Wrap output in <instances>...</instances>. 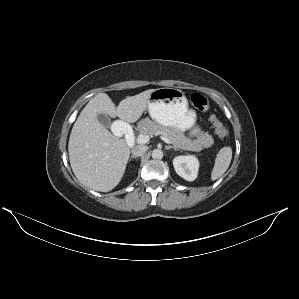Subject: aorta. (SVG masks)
<instances>
[{"instance_id":"762f6f07","label":"aorta","mask_w":299,"mask_h":299,"mask_svg":"<svg viewBox=\"0 0 299 299\" xmlns=\"http://www.w3.org/2000/svg\"><path fill=\"white\" fill-rule=\"evenodd\" d=\"M152 158L156 159V160L162 159L163 158V151L160 150V149H154L152 151Z\"/></svg>"}]
</instances>
